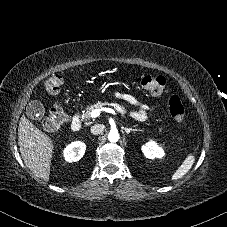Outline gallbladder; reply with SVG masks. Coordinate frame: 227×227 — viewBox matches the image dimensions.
I'll use <instances>...</instances> for the list:
<instances>
[{
    "label": "gallbladder",
    "mask_w": 227,
    "mask_h": 227,
    "mask_svg": "<svg viewBox=\"0 0 227 227\" xmlns=\"http://www.w3.org/2000/svg\"><path fill=\"white\" fill-rule=\"evenodd\" d=\"M26 113L30 118H35L38 113L40 118L44 114V106L39 101H31L27 106Z\"/></svg>",
    "instance_id": "gallbladder-1"
}]
</instances>
